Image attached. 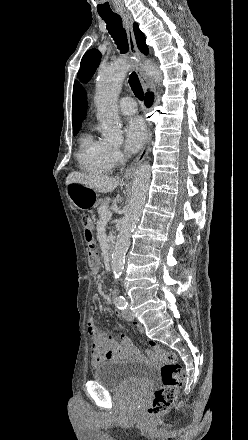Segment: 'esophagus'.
<instances>
[{
    "label": "esophagus",
    "instance_id": "1",
    "mask_svg": "<svg viewBox=\"0 0 248 440\" xmlns=\"http://www.w3.org/2000/svg\"><path fill=\"white\" fill-rule=\"evenodd\" d=\"M120 15L123 19L124 27L127 32L130 53L133 56V58L136 60V72L139 76V79H140L143 87L150 88L151 87L150 79L142 67V62L144 60V56L139 51L137 44H136V40H135V35H134V31H133L132 15L126 9L121 10ZM151 138H152V132L149 128L145 144H144L142 150L140 151L139 155L135 158V160L125 170L124 175H123L124 179L128 180V179L132 178V176L135 174L138 167L142 164V162L147 157V155L149 153V149H150Z\"/></svg>",
    "mask_w": 248,
    "mask_h": 440
}]
</instances>
